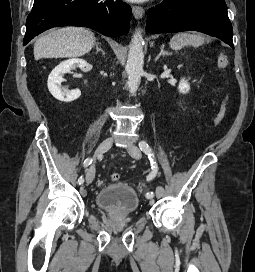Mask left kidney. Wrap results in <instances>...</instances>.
<instances>
[{
    "label": "left kidney",
    "mask_w": 255,
    "mask_h": 272,
    "mask_svg": "<svg viewBox=\"0 0 255 272\" xmlns=\"http://www.w3.org/2000/svg\"><path fill=\"white\" fill-rule=\"evenodd\" d=\"M178 90H179L180 93H183V94L189 92V90H190V85H189V83L187 82V80L181 79V81H180V83H179V86H178Z\"/></svg>",
    "instance_id": "5707ae66"
}]
</instances>
